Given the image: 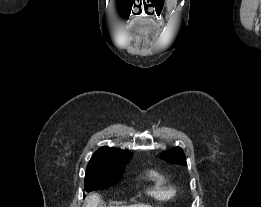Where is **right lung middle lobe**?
<instances>
[{
    "mask_svg": "<svg viewBox=\"0 0 261 207\" xmlns=\"http://www.w3.org/2000/svg\"><path fill=\"white\" fill-rule=\"evenodd\" d=\"M130 159L131 158L123 159L108 166L87 167L85 190L90 192L117 184L122 179L125 171L124 165L127 164Z\"/></svg>",
    "mask_w": 261,
    "mask_h": 207,
    "instance_id": "dd1d6c3e",
    "label": "right lung middle lobe"
}]
</instances>
